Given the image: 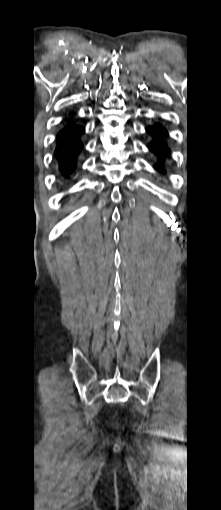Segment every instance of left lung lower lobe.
Masks as SVG:
<instances>
[{"instance_id":"1","label":"left lung lower lobe","mask_w":221,"mask_h":510,"mask_svg":"<svg viewBox=\"0 0 221 510\" xmlns=\"http://www.w3.org/2000/svg\"><path fill=\"white\" fill-rule=\"evenodd\" d=\"M146 131L154 138V141L148 145V148L163 161L164 158L170 154V151L164 140V138L168 135L167 131L159 124L147 127ZM155 168L158 171L164 173V169L161 167V165L155 166Z\"/></svg>"}]
</instances>
